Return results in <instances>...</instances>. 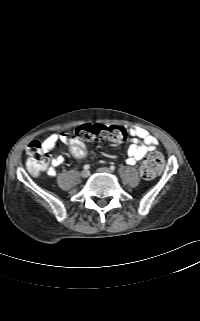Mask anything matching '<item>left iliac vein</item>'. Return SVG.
<instances>
[{
  "mask_svg": "<svg viewBox=\"0 0 200 321\" xmlns=\"http://www.w3.org/2000/svg\"><path fill=\"white\" fill-rule=\"evenodd\" d=\"M98 172L110 174L112 171L107 167H101V168L98 169Z\"/></svg>",
  "mask_w": 200,
  "mask_h": 321,
  "instance_id": "1",
  "label": "left iliac vein"
}]
</instances>
